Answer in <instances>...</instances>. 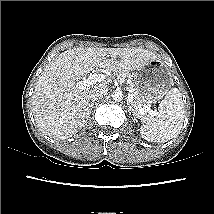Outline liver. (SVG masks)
Returning <instances> with one entry per match:
<instances>
[{"label":"liver","instance_id":"6515ba94","mask_svg":"<svg viewBox=\"0 0 214 214\" xmlns=\"http://www.w3.org/2000/svg\"><path fill=\"white\" fill-rule=\"evenodd\" d=\"M110 57V58H108ZM157 56L143 48H74L59 54L38 77L32 95V111L39 129L47 136L64 140L75 135L90 117V93L105 83L85 89L78 81L95 68L133 72Z\"/></svg>","mask_w":214,"mask_h":214}]
</instances>
